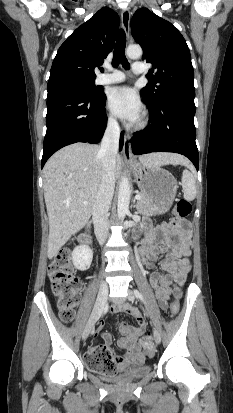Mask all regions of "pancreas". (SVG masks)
I'll list each match as a JSON object with an SVG mask.
<instances>
[{"mask_svg":"<svg viewBox=\"0 0 233 413\" xmlns=\"http://www.w3.org/2000/svg\"><path fill=\"white\" fill-rule=\"evenodd\" d=\"M141 199L137 201L138 213L152 216L159 212L156 202H152L145 194L140 192Z\"/></svg>","mask_w":233,"mask_h":413,"instance_id":"obj_1","label":"pancreas"}]
</instances>
